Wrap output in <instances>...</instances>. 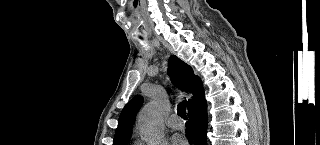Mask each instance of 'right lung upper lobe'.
I'll use <instances>...</instances> for the list:
<instances>
[{"label":"right lung upper lobe","instance_id":"1","mask_svg":"<svg viewBox=\"0 0 320 145\" xmlns=\"http://www.w3.org/2000/svg\"><path fill=\"white\" fill-rule=\"evenodd\" d=\"M168 72L172 81L186 92H192L194 97L187 102L188 109L203 96V86L198 76L194 75L192 68L175 55L168 60ZM143 103L142 96H135L123 108L118 128L115 133L113 145H125L131 138L132 125L136 114Z\"/></svg>","mask_w":320,"mask_h":145}]
</instances>
